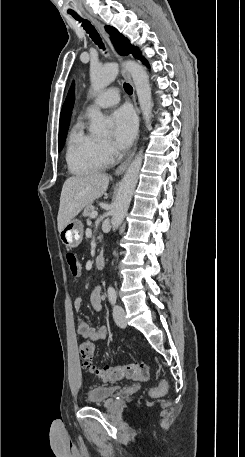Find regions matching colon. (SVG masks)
<instances>
[{"label": "colon", "mask_w": 245, "mask_h": 457, "mask_svg": "<svg viewBox=\"0 0 245 457\" xmlns=\"http://www.w3.org/2000/svg\"><path fill=\"white\" fill-rule=\"evenodd\" d=\"M66 261L72 276L78 277L81 274V265L78 257L73 252L66 254ZM95 345L93 341L86 340L79 345V355L83 360V367L96 374L101 380L106 382H116L122 379L145 381L149 377V369L145 364L130 363L126 365L107 366L97 368L92 362ZM166 382H161L159 386L152 390L153 394H162L166 391Z\"/></svg>", "instance_id": "colon-1"}]
</instances>
